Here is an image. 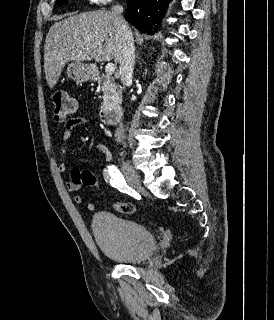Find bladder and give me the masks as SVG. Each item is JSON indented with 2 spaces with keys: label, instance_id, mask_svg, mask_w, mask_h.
<instances>
[{
  "label": "bladder",
  "instance_id": "obj_1",
  "mask_svg": "<svg viewBox=\"0 0 274 320\" xmlns=\"http://www.w3.org/2000/svg\"><path fill=\"white\" fill-rule=\"evenodd\" d=\"M91 230L103 254L124 264L141 263L157 248L155 236L146 226L111 212L96 213Z\"/></svg>",
  "mask_w": 274,
  "mask_h": 320
}]
</instances>
